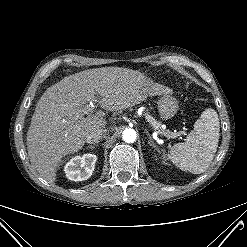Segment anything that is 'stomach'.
Listing matches in <instances>:
<instances>
[{"label": "stomach", "mask_w": 247, "mask_h": 247, "mask_svg": "<svg viewBox=\"0 0 247 247\" xmlns=\"http://www.w3.org/2000/svg\"><path fill=\"white\" fill-rule=\"evenodd\" d=\"M158 110L162 119L168 120L177 113L178 102L174 97L170 95H164L158 101Z\"/></svg>", "instance_id": "stomach-1"}]
</instances>
